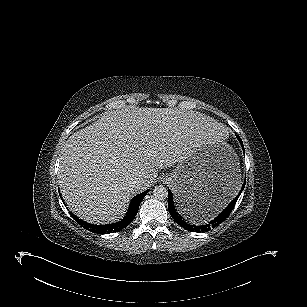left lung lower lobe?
I'll use <instances>...</instances> for the list:
<instances>
[{"label":"left lung lower lobe","mask_w":307,"mask_h":307,"mask_svg":"<svg viewBox=\"0 0 307 307\" xmlns=\"http://www.w3.org/2000/svg\"><path fill=\"white\" fill-rule=\"evenodd\" d=\"M238 139H239L241 145L243 146V143H242V140L240 139V137H238ZM245 182H246V180H245ZM245 182H244V185H243L240 193L235 197V199L214 220H212L208 224L196 226V225H191V224L185 222L184 220H182V218L178 215V213L175 211V209L173 207L172 194H171V191L168 189V209H169V213L178 225H180L182 228H184L188 231H191V232H206V231H209L210 229L215 228L216 226L221 224L225 219L228 218V216L230 215V213L232 212V210L235 206L236 201L238 200L241 192L244 189Z\"/></svg>","instance_id":"left-lung-lower-lobe-1"}]
</instances>
